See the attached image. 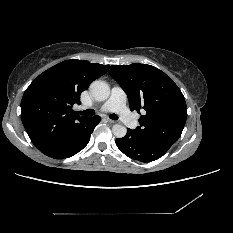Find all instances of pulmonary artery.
<instances>
[{"label":"pulmonary artery","instance_id":"pulmonary-artery-1","mask_svg":"<svg viewBox=\"0 0 233 233\" xmlns=\"http://www.w3.org/2000/svg\"><path fill=\"white\" fill-rule=\"evenodd\" d=\"M104 112L115 111L129 127H136L137 120L126 107V95L119 87H114L109 99L101 106Z\"/></svg>","mask_w":233,"mask_h":233}]
</instances>
